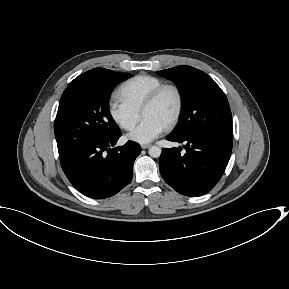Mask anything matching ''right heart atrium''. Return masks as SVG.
Segmentation results:
<instances>
[{
    "label": "right heart atrium",
    "mask_w": 289,
    "mask_h": 289,
    "mask_svg": "<svg viewBox=\"0 0 289 289\" xmlns=\"http://www.w3.org/2000/svg\"><path fill=\"white\" fill-rule=\"evenodd\" d=\"M111 119L122 129L132 130L140 119V112L122 101L112 99L108 103Z\"/></svg>",
    "instance_id": "d8ad5b80"
}]
</instances>
